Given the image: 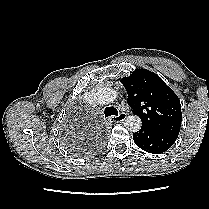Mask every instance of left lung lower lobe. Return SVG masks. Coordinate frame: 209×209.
I'll list each match as a JSON object with an SVG mask.
<instances>
[{
    "label": "left lung lower lobe",
    "mask_w": 209,
    "mask_h": 209,
    "mask_svg": "<svg viewBox=\"0 0 209 209\" xmlns=\"http://www.w3.org/2000/svg\"><path fill=\"white\" fill-rule=\"evenodd\" d=\"M135 144L142 150L159 154L168 150L176 141L177 136L154 131L142 126L141 129L133 134Z\"/></svg>",
    "instance_id": "left-lung-lower-lobe-1"
}]
</instances>
